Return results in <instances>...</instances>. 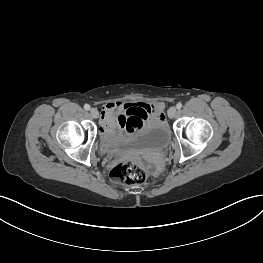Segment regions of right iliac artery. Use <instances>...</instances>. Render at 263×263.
I'll return each instance as SVG.
<instances>
[{"label": "right iliac artery", "mask_w": 263, "mask_h": 263, "mask_svg": "<svg viewBox=\"0 0 263 263\" xmlns=\"http://www.w3.org/2000/svg\"><path fill=\"white\" fill-rule=\"evenodd\" d=\"M84 109H85V110H90V105H89V104H85V105H84Z\"/></svg>", "instance_id": "right-iliac-artery-1"}]
</instances>
